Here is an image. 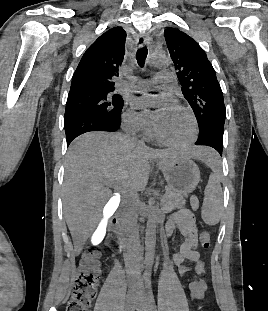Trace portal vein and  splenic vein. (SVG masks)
<instances>
[{"label": "portal vein and splenic vein", "instance_id": "obj_1", "mask_svg": "<svg viewBox=\"0 0 268 311\" xmlns=\"http://www.w3.org/2000/svg\"><path fill=\"white\" fill-rule=\"evenodd\" d=\"M109 184H110L111 186H114V187H116L117 189H120V190H121V188H120V187H118V186H116V184H115V183H113V182H109ZM112 199H113V200H117V199H118V197H113Z\"/></svg>", "mask_w": 268, "mask_h": 311}]
</instances>
